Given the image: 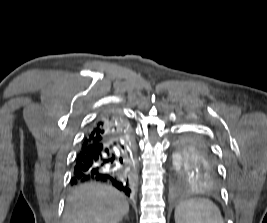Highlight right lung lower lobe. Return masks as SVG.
Instances as JSON below:
<instances>
[{
    "label": "right lung lower lobe",
    "mask_w": 267,
    "mask_h": 223,
    "mask_svg": "<svg viewBox=\"0 0 267 223\" xmlns=\"http://www.w3.org/2000/svg\"><path fill=\"white\" fill-rule=\"evenodd\" d=\"M132 133L130 127L117 136L83 146L75 159L71 184L102 182L112 185L130 196L136 180L131 158Z\"/></svg>",
    "instance_id": "98d812e1"
}]
</instances>
